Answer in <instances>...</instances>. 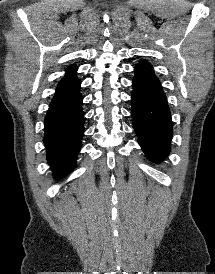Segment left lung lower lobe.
Segmentation results:
<instances>
[{
  "mask_svg": "<svg viewBox=\"0 0 215 274\" xmlns=\"http://www.w3.org/2000/svg\"><path fill=\"white\" fill-rule=\"evenodd\" d=\"M131 98L138 142L146 157L159 163L170 151L173 129L166 96L152 68L136 65Z\"/></svg>",
  "mask_w": 215,
  "mask_h": 274,
  "instance_id": "left-lung-lower-lobe-1",
  "label": "left lung lower lobe"
}]
</instances>
